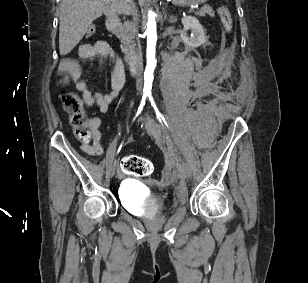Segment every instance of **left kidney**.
I'll return each mask as SVG.
<instances>
[{"label": "left kidney", "mask_w": 308, "mask_h": 283, "mask_svg": "<svg viewBox=\"0 0 308 283\" xmlns=\"http://www.w3.org/2000/svg\"><path fill=\"white\" fill-rule=\"evenodd\" d=\"M184 26L180 36L185 45L190 47H198L206 42V36L202 25L195 17L187 16L182 18ZM191 30V36H188L187 31Z\"/></svg>", "instance_id": "5707ae66"}]
</instances>
